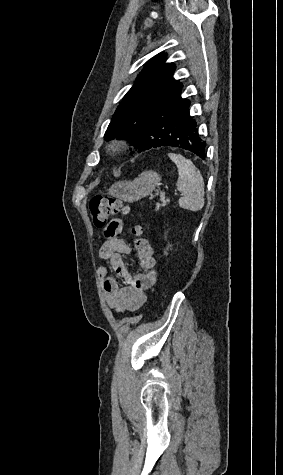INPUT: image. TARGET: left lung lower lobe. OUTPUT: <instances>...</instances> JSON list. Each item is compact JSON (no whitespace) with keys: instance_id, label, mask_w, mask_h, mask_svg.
Listing matches in <instances>:
<instances>
[{"instance_id":"0a47b994","label":"left lung lower lobe","mask_w":283,"mask_h":475,"mask_svg":"<svg viewBox=\"0 0 283 475\" xmlns=\"http://www.w3.org/2000/svg\"><path fill=\"white\" fill-rule=\"evenodd\" d=\"M182 84L168 93L150 112L138 136L122 134L138 153L160 146L182 148L206 158V142L198 133V123L189 113L190 101L181 97Z\"/></svg>"}]
</instances>
